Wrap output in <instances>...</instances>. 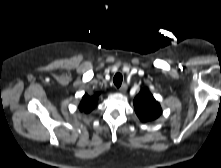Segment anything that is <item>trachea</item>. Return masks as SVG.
Listing matches in <instances>:
<instances>
[{
	"mask_svg": "<svg viewBox=\"0 0 221 168\" xmlns=\"http://www.w3.org/2000/svg\"><path fill=\"white\" fill-rule=\"evenodd\" d=\"M122 80H123L122 74L118 73L114 76L113 83L117 88H119L122 84Z\"/></svg>",
	"mask_w": 221,
	"mask_h": 168,
	"instance_id": "1",
	"label": "trachea"
}]
</instances>
